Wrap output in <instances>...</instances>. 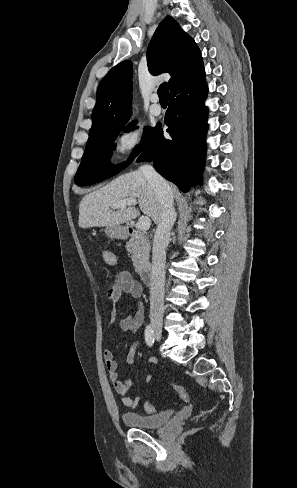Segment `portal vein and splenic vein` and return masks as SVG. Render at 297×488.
I'll return each instance as SVG.
<instances>
[{
  "mask_svg": "<svg viewBox=\"0 0 297 488\" xmlns=\"http://www.w3.org/2000/svg\"><path fill=\"white\" fill-rule=\"evenodd\" d=\"M137 200L135 198H127L118 203L111 205L112 209H118L126 206L136 205ZM151 220L148 216H141L138 220L137 228L140 231H146L150 228Z\"/></svg>",
  "mask_w": 297,
  "mask_h": 488,
  "instance_id": "1",
  "label": "portal vein and splenic vein"
}]
</instances>
